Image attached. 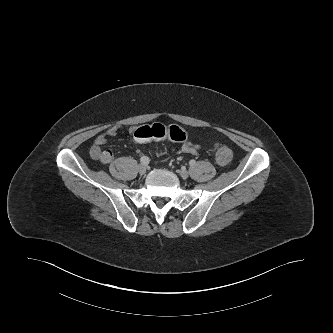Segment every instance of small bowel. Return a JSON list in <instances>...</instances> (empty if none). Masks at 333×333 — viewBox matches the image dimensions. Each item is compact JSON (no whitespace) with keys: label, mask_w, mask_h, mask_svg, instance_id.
I'll return each mask as SVG.
<instances>
[{"label":"small bowel","mask_w":333,"mask_h":333,"mask_svg":"<svg viewBox=\"0 0 333 333\" xmlns=\"http://www.w3.org/2000/svg\"><path fill=\"white\" fill-rule=\"evenodd\" d=\"M128 132L130 134H133L135 132L134 127H130L128 129ZM118 133L117 127H111L107 129L105 132L99 134L93 145L90 148V156L97 161H100L104 164H109L114 159V154L110 149H103V145H105L110 138L116 136ZM200 149V146L196 143H193L191 141H184L179 149L180 153L184 154H192L196 155Z\"/></svg>","instance_id":"c3829d8e"}]
</instances>
